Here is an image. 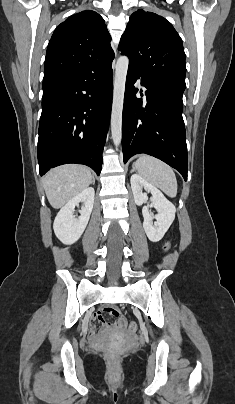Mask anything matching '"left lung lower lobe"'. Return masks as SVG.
I'll list each match as a JSON object with an SVG mask.
<instances>
[{
	"label": "left lung lower lobe",
	"instance_id": "1",
	"mask_svg": "<svg viewBox=\"0 0 235 404\" xmlns=\"http://www.w3.org/2000/svg\"><path fill=\"white\" fill-rule=\"evenodd\" d=\"M139 78L147 88L146 105L136 97L138 89L134 83ZM182 95L181 89L149 79L128 67L122 117L124 163L135 154L145 153L172 166L187 180Z\"/></svg>",
	"mask_w": 235,
	"mask_h": 404
}]
</instances>
